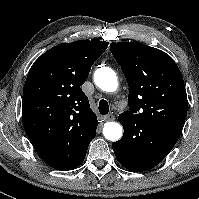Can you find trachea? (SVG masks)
Masks as SVG:
<instances>
[{
  "label": "trachea",
  "mask_w": 199,
  "mask_h": 199,
  "mask_svg": "<svg viewBox=\"0 0 199 199\" xmlns=\"http://www.w3.org/2000/svg\"><path fill=\"white\" fill-rule=\"evenodd\" d=\"M99 112L102 115H106L109 112V105L108 102L106 100H100L99 102V106H98Z\"/></svg>",
  "instance_id": "trachea-1"
}]
</instances>
